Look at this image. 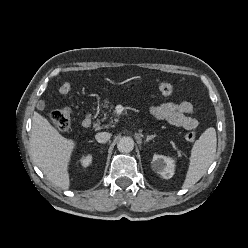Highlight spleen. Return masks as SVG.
I'll use <instances>...</instances> for the list:
<instances>
[{"label":"spleen","mask_w":248,"mask_h":248,"mask_svg":"<svg viewBox=\"0 0 248 248\" xmlns=\"http://www.w3.org/2000/svg\"><path fill=\"white\" fill-rule=\"evenodd\" d=\"M216 146V131L213 127L207 128L193 145L189 168L182 188H191L206 173L214 160Z\"/></svg>","instance_id":"1"}]
</instances>
